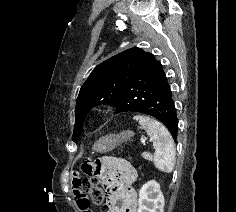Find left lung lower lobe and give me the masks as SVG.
<instances>
[{
	"instance_id": "1",
	"label": "left lung lower lobe",
	"mask_w": 236,
	"mask_h": 212,
	"mask_svg": "<svg viewBox=\"0 0 236 212\" xmlns=\"http://www.w3.org/2000/svg\"><path fill=\"white\" fill-rule=\"evenodd\" d=\"M115 113L140 112L161 121L177 138L178 120L170 85L162 64L146 53L132 80L112 105Z\"/></svg>"
}]
</instances>
